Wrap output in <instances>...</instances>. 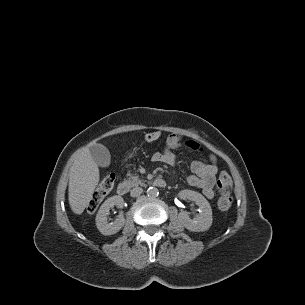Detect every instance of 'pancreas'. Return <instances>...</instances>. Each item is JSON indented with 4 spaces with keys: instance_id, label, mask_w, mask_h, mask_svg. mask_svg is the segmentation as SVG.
I'll return each mask as SVG.
<instances>
[{
    "instance_id": "cf45deb5",
    "label": "pancreas",
    "mask_w": 305,
    "mask_h": 305,
    "mask_svg": "<svg viewBox=\"0 0 305 305\" xmlns=\"http://www.w3.org/2000/svg\"><path fill=\"white\" fill-rule=\"evenodd\" d=\"M127 182L131 185V186H138L142 183V180L139 178L138 175H132L128 178Z\"/></svg>"
}]
</instances>
